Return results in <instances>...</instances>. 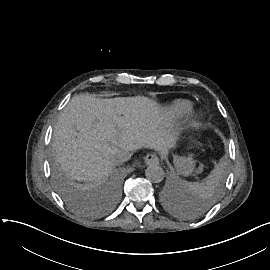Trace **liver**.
Wrapping results in <instances>:
<instances>
[{
  "label": "liver",
  "mask_w": 270,
  "mask_h": 270,
  "mask_svg": "<svg viewBox=\"0 0 270 270\" xmlns=\"http://www.w3.org/2000/svg\"><path fill=\"white\" fill-rule=\"evenodd\" d=\"M157 110L154 102L142 97H73L54 129L57 162L74 179L102 181L119 164V150L151 146L164 152L166 140L154 123Z\"/></svg>",
  "instance_id": "6515ba94"
}]
</instances>
